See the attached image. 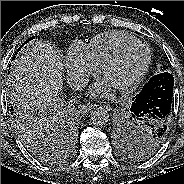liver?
<instances>
[{"label":"liver","mask_w":184,"mask_h":184,"mask_svg":"<svg viewBox=\"0 0 184 184\" xmlns=\"http://www.w3.org/2000/svg\"><path fill=\"white\" fill-rule=\"evenodd\" d=\"M63 64L47 42H29L18 53L9 74V91L15 102L46 111L57 103L63 89Z\"/></svg>","instance_id":"1"}]
</instances>
